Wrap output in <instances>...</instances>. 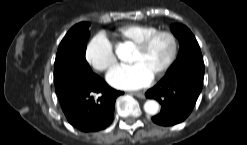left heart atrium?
<instances>
[{"label": "left heart atrium", "mask_w": 247, "mask_h": 145, "mask_svg": "<svg viewBox=\"0 0 247 145\" xmlns=\"http://www.w3.org/2000/svg\"><path fill=\"white\" fill-rule=\"evenodd\" d=\"M152 79L153 75L138 63L117 66L107 75V80L112 86L125 90L142 88L148 85Z\"/></svg>", "instance_id": "39dd6f15"}]
</instances>
